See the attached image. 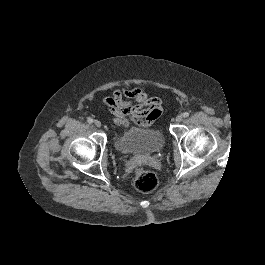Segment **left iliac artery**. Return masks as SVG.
Segmentation results:
<instances>
[{
	"label": "left iliac artery",
	"instance_id": "1",
	"mask_svg": "<svg viewBox=\"0 0 265 265\" xmlns=\"http://www.w3.org/2000/svg\"><path fill=\"white\" fill-rule=\"evenodd\" d=\"M183 116H184V117H189V113H188V112H184V113H183Z\"/></svg>",
	"mask_w": 265,
	"mask_h": 265
}]
</instances>
